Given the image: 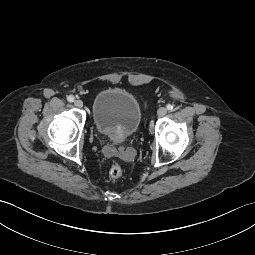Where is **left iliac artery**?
Returning <instances> with one entry per match:
<instances>
[{
    "instance_id": "1",
    "label": "left iliac artery",
    "mask_w": 255,
    "mask_h": 255,
    "mask_svg": "<svg viewBox=\"0 0 255 255\" xmlns=\"http://www.w3.org/2000/svg\"><path fill=\"white\" fill-rule=\"evenodd\" d=\"M166 108H167V110L172 111L174 107H173V105L168 104V105L166 106Z\"/></svg>"
}]
</instances>
